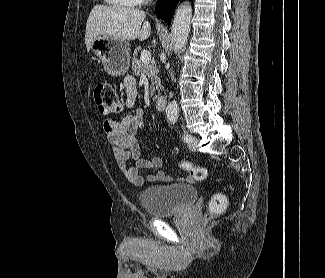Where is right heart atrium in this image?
<instances>
[{
    "instance_id": "right-heart-atrium-1",
    "label": "right heart atrium",
    "mask_w": 325,
    "mask_h": 278,
    "mask_svg": "<svg viewBox=\"0 0 325 278\" xmlns=\"http://www.w3.org/2000/svg\"><path fill=\"white\" fill-rule=\"evenodd\" d=\"M139 3H144V2H147L148 0H138Z\"/></svg>"
}]
</instances>
